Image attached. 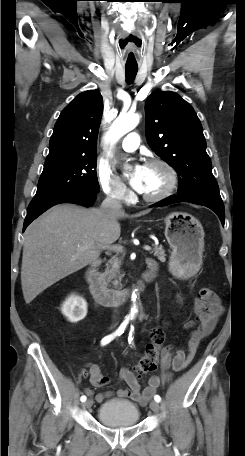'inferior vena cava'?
Instances as JSON below:
<instances>
[{
    "mask_svg": "<svg viewBox=\"0 0 245 456\" xmlns=\"http://www.w3.org/2000/svg\"><path fill=\"white\" fill-rule=\"evenodd\" d=\"M101 208L103 211H119L122 209V205L118 199L107 196L102 202Z\"/></svg>",
    "mask_w": 245,
    "mask_h": 456,
    "instance_id": "inferior-vena-cava-1",
    "label": "inferior vena cava"
}]
</instances>
